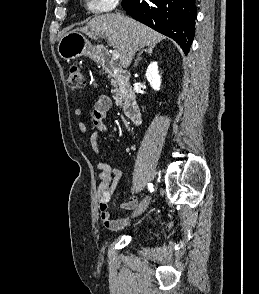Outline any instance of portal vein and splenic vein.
<instances>
[{
	"mask_svg": "<svg viewBox=\"0 0 259 294\" xmlns=\"http://www.w3.org/2000/svg\"><path fill=\"white\" fill-rule=\"evenodd\" d=\"M119 57H120L119 52L116 51V50H114V51L112 52V59H113L114 61H117V60L119 59Z\"/></svg>",
	"mask_w": 259,
	"mask_h": 294,
	"instance_id": "portal-vein-and-splenic-vein-1",
	"label": "portal vein and splenic vein"
}]
</instances>
